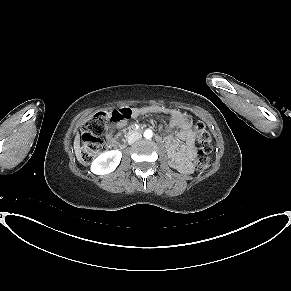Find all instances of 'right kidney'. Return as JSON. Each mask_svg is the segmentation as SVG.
<instances>
[{
  "instance_id": "right-kidney-1",
  "label": "right kidney",
  "mask_w": 291,
  "mask_h": 291,
  "mask_svg": "<svg viewBox=\"0 0 291 291\" xmlns=\"http://www.w3.org/2000/svg\"><path fill=\"white\" fill-rule=\"evenodd\" d=\"M122 153L119 150L107 151L100 154L91 164V171L97 175L113 172L120 163Z\"/></svg>"
}]
</instances>
